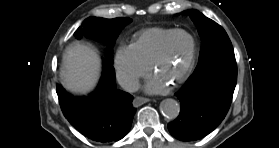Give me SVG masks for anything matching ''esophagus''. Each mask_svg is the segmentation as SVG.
Wrapping results in <instances>:
<instances>
[{"label": "esophagus", "mask_w": 279, "mask_h": 148, "mask_svg": "<svg viewBox=\"0 0 279 148\" xmlns=\"http://www.w3.org/2000/svg\"><path fill=\"white\" fill-rule=\"evenodd\" d=\"M149 101H150V99H148V98L138 96V97L134 98L133 106L134 107H138V106H140V105H142L144 103H147Z\"/></svg>", "instance_id": "1"}]
</instances>
